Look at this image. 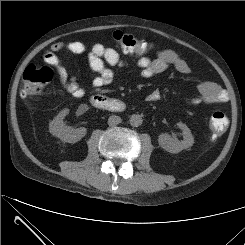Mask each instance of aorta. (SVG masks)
Listing matches in <instances>:
<instances>
[{
	"label": "aorta",
	"instance_id": "obj_1",
	"mask_svg": "<svg viewBox=\"0 0 245 245\" xmlns=\"http://www.w3.org/2000/svg\"><path fill=\"white\" fill-rule=\"evenodd\" d=\"M130 125L133 127L140 126L143 122L142 117L140 115L134 114L129 119Z\"/></svg>",
	"mask_w": 245,
	"mask_h": 245
}]
</instances>
